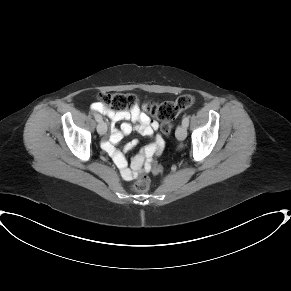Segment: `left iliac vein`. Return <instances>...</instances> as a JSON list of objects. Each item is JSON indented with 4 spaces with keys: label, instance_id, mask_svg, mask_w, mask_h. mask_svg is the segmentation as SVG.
I'll use <instances>...</instances> for the list:
<instances>
[{
    "label": "left iliac vein",
    "instance_id": "left-iliac-vein-1",
    "mask_svg": "<svg viewBox=\"0 0 291 291\" xmlns=\"http://www.w3.org/2000/svg\"><path fill=\"white\" fill-rule=\"evenodd\" d=\"M187 136V131H186V127H184L183 125H180L177 127L176 129V137L178 140H184Z\"/></svg>",
    "mask_w": 291,
    "mask_h": 291
}]
</instances>
